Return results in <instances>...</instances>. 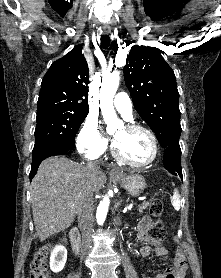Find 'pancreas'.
I'll list each match as a JSON object with an SVG mask.
<instances>
[{"label": "pancreas", "mask_w": 221, "mask_h": 278, "mask_svg": "<svg viewBox=\"0 0 221 278\" xmlns=\"http://www.w3.org/2000/svg\"><path fill=\"white\" fill-rule=\"evenodd\" d=\"M149 206H150L149 202H144V203H142V205H139L138 206L139 213L142 214L144 212V210Z\"/></svg>", "instance_id": "obj_1"}]
</instances>
